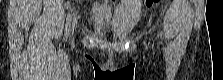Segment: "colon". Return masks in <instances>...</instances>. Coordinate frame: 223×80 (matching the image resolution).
Masks as SVG:
<instances>
[{"mask_svg": "<svg viewBox=\"0 0 223 80\" xmlns=\"http://www.w3.org/2000/svg\"><path fill=\"white\" fill-rule=\"evenodd\" d=\"M159 0H144L143 3L146 7L152 6L154 3L158 2Z\"/></svg>", "mask_w": 223, "mask_h": 80, "instance_id": "5ec220e1", "label": "colon"}]
</instances>
